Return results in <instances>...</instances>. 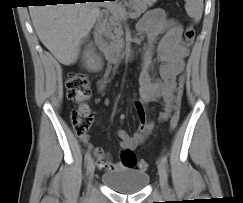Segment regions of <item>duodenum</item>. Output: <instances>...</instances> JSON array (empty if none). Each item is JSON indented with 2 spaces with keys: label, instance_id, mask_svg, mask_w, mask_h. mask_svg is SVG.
I'll use <instances>...</instances> for the list:
<instances>
[{
  "label": "duodenum",
  "instance_id": "obj_1",
  "mask_svg": "<svg viewBox=\"0 0 243 203\" xmlns=\"http://www.w3.org/2000/svg\"><path fill=\"white\" fill-rule=\"evenodd\" d=\"M105 11L101 12L97 19L94 29L93 36L97 48L103 53L106 60L110 63H119L121 61H131L137 57V52L131 47L125 45H109L103 35V24L106 21Z\"/></svg>",
  "mask_w": 243,
  "mask_h": 203
}]
</instances>
